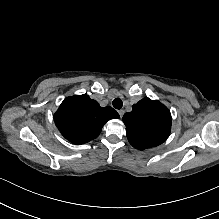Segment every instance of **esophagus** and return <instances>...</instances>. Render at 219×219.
I'll use <instances>...</instances> for the list:
<instances>
[{"label":"esophagus","instance_id":"obj_1","mask_svg":"<svg viewBox=\"0 0 219 219\" xmlns=\"http://www.w3.org/2000/svg\"><path fill=\"white\" fill-rule=\"evenodd\" d=\"M118 113H119V116L122 118L124 115V110H119Z\"/></svg>","mask_w":219,"mask_h":219}]
</instances>
